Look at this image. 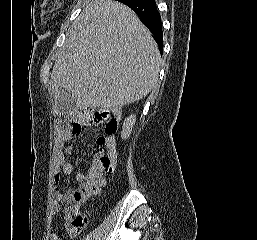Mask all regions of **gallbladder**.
<instances>
[{"instance_id":"obj_1","label":"gallbladder","mask_w":257,"mask_h":240,"mask_svg":"<svg viewBox=\"0 0 257 240\" xmlns=\"http://www.w3.org/2000/svg\"><path fill=\"white\" fill-rule=\"evenodd\" d=\"M54 110L59 116L69 115L75 108V101L72 99L71 93L63 92L58 99L54 101Z\"/></svg>"}]
</instances>
